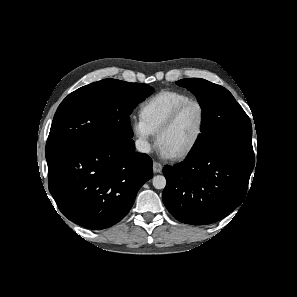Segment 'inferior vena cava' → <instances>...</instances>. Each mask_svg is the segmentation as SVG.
I'll return each instance as SVG.
<instances>
[{"mask_svg":"<svg viewBox=\"0 0 297 297\" xmlns=\"http://www.w3.org/2000/svg\"><path fill=\"white\" fill-rule=\"evenodd\" d=\"M135 146H136V149L141 153H149L151 150L149 142L144 139L136 140Z\"/></svg>","mask_w":297,"mask_h":297,"instance_id":"obj_1","label":"inferior vena cava"}]
</instances>
